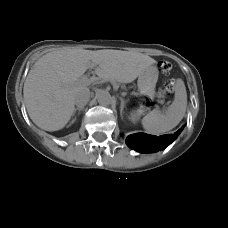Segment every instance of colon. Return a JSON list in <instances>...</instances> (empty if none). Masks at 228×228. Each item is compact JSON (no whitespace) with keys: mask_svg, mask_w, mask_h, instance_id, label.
I'll return each mask as SVG.
<instances>
[{"mask_svg":"<svg viewBox=\"0 0 228 228\" xmlns=\"http://www.w3.org/2000/svg\"><path fill=\"white\" fill-rule=\"evenodd\" d=\"M160 69L162 72H169L172 69V65L170 62L164 61L160 64ZM166 91L171 94L174 91V82L171 81L166 85Z\"/></svg>","mask_w":228,"mask_h":228,"instance_id":"1","label":"colon"}]
</instances>
